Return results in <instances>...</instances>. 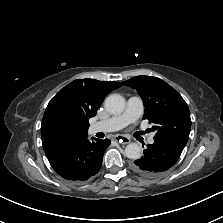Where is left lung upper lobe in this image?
Listing matches in <instances>:
<instances>
[{
  "mask_svg": "<svg viewBox=\"0 0 223 223\" xmlns=\"http://www.w3.org/2000/svg\"><path fill=\"white\" fill-rule=\"evenodd\" d=\"M136 89L145 111L143 119L153 123L154 139H169L186 145L191 118L182 96L165 81L153 76H136L123 82Z\"/></svg>",
  "mask_w": 223,
  "mask_h": 223,
  "instance_id": "left-lung-upper-lobe-1",
  "label": "left lung upper lobe"
}]
</instances>
